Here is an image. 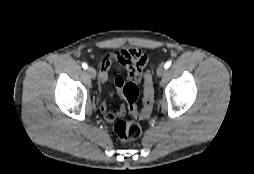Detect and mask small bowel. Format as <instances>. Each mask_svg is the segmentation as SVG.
Returning a JSON list of instances; mask_svg holds the SVG:
<instances>
[{
    "label": "small bowel",
    "mask_w": 254,
    "mask_h": 174,
    "mask_svg": "<svg viewBox=\"0 0 254 174\" xmlns=\"http://www.w3.org/2000/svg\"><path fill=\"white\" fill-rule=\"evenodd\" d=\"M147 55L137 48H130L120 51H112L105 54L100 63L99 80L106 82L108 79V71L113 65H120L127 69L128 79L138 81L141 77L142 71L147 64ZM125 83L122 76H117L114 80L115 91L121 94V88ZM114 91L109 94V98L114 95ZM100 110L103 116L111 120L115 116V112L108 108L107 101L100 104Z\"/></svg>",
    "instance_id": "obj_1"
}]
</instances>
